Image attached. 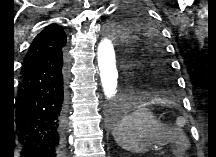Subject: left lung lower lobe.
<instances>
[{
    "instance_id": "0a47b994",
    "label": "left lung lower lobe",
    "mask_w": 216,
    "mask_h": 157,
    "mask_svg": "<svg viewBox=\"0 0 216 157\" xmlns=\"http://www.w3.org/2000/svg\"><path fill=\"white\" fill-rule=\"evenodd\" d=\"M123 77H124V86H126V80H125V75H123ZM113 119L114 120H118L119 119V117H120V113L119 112H117L116 110H114V112H113Z\"/></svg>"
}]
</instances>
